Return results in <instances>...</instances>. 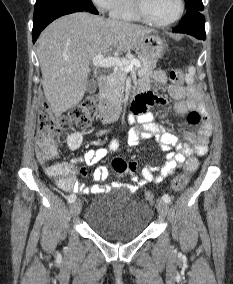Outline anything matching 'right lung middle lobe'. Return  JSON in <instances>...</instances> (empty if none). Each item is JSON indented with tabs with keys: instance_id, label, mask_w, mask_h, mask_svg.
<instances>
[{
	"instance_id": "dd1d6c3e",
	"label": "right lung middle lobe",
	"mask_w": 233,
	"mask_h": 284,
	"mask_svg": "<svg viewBox=\"0 0 233 284\" xmlns=\"http://www.w3.org/2000/svg\"><path fill=\"white\" fill-rule=\"evenodd\" d=\"M65 10H81L96 14L91 0H36L33 21L48 14Z\"/></svg>"
}]
</instances>
